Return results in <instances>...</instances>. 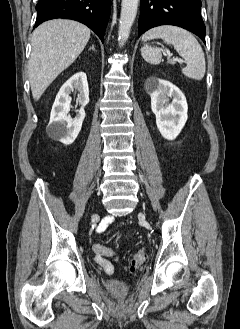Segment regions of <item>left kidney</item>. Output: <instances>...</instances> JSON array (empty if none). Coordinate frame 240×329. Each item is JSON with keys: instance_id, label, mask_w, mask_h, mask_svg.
<instances>
[{"instance_id": "5707ae66", "label": "left kidney", "mask_w": 240, "mask_h": 329, "mask_svg": "<svg viewBox=\"0 0 240 329\" xmlns=\"http://www.w3.org/2000/svg\"><path fill=\"white\" fill-rule=\"evenodd\" d=\"M145 87L151 96V109L156 116L159 132L165 139L174 140L188 118L184 94L169 81L157 77L147 79ZM169 98H172L171 103Z\"/></svg>"}]
</instances>
